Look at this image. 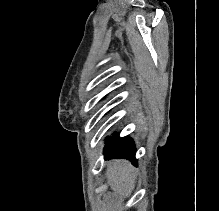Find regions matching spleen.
Listing matches in <instances>:
<instances>
[{
  "instance_id": "spleen-1",
  "label": "spleen",
  "mask_w": 219,
  "mask_h": 211,
  "mask_svg": "<svg viewBox=\"0 0 219 211\" xmlns=\"http://www.w3.org/2000/svg\"><path fill=\"white\" fill-rule=\"evenodd\" d=\"M111 189L122 197H129L135 187V173L129 161H113L106 171Z\"/></svg>"
}]
</instances>
